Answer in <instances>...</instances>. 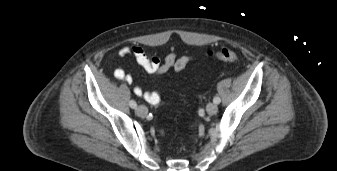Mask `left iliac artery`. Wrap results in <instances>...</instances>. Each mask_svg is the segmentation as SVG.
Returning <instances> with one entry per match:
<instances>
[{"instance_id":"obj_1","label":"left iliac artery","mask_w":337,"mask_h":171,"mask_svg":"<svg viewBox=\"0 0 337 171\" xmlns=\"http://www.w3.org/2000/svg\"><path fill=\"white\" fill-rule=\"evenodd\" d=\"M213 102L215 104H219L221 102V99L219 97H214Z\"/></svg>"}]
</instances>
